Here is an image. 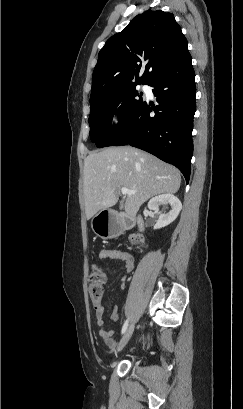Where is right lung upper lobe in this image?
Masks as SVG:
<instances>
[{
  "mask_svg": "<svg viewBox=\"0 0 243 409\" xmlns=\"http://www.w3.org/2000/svg\"><path fill=\"white\" fill-rule=\"evenodd\" d=\"M186 46L173 14L147 10L137 15L99 52L90 103L134 84H149Z\"/></svg>",
  "mask_w": 243,
  "mask_h": 409,
  "instance_id": "cb5924a9",
  "label": "right lung upper lobe"
}]
</instances>
